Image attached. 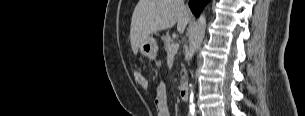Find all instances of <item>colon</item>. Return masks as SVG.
<instances>
[{
  "mask_svg": "<svg viewBox=\"0 0 305 116\" xmlns=\"http://www.w3.org/2000/svg\"><path fill=\"white\" fill-rule=\"evenodd\" d=\"M134 79L138 87L143 91L149 90L148 80L144 77V75L140 71L134 72Z\"/></svg>",
  "mask_w": 305,
  "mask_h": 116,
  "instance_id": "5ec220e1",
  "label": "colon"
}]
</instances>
